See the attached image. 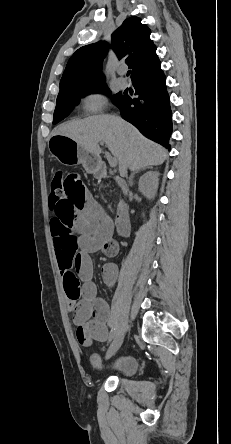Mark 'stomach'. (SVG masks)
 I'll use <instances>...</instances> for the list:
<instances>
[{"label":"stomach","instance_id":"1","mask_svg":"<svg viewBox=\"0 0 231 444\" xmlns=\"http://www.w3.org/2000/svg\"><path fill=\"white\" fill-rule=\"evenodd\" d=\"M49 150L62 164H82L88 173H97L101 167L100 157L86 151L65 135H53L49 141Z\"/></svg>","mask_w":231,"mask_h":444}]
</instances>
